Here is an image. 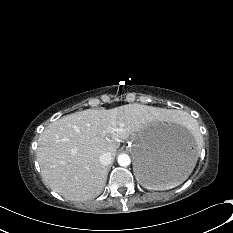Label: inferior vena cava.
Here are the masks:
<instances>
[{"label": "inferior vena cava", "instance_id": "obj_1", "mask_svg": "<svg viewBox=\"0 0 233 233\" xmlns=\"http://www.w3.org/2000/svg\"><path fill=\"white\" fill-rule=\"evenodd\" d=\"M99 161L102 165L107 166L112 163V155L110 152H105L100 155Z\"/></svg>", "mask_w": 233, "mask_h": 233}]
</instances>
